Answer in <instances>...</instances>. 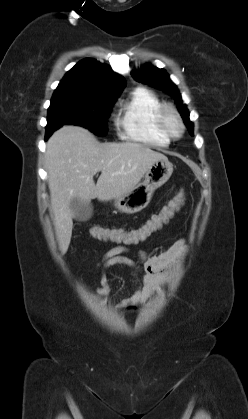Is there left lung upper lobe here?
Listing matches in <instances>:
<instances>
[{"mask_svg": "<svg viewBox=\"0 0 248 419\" xmlns=\"http://www.w3.org/2000/svg\"><path fill=\"white\" fill-rule=\"evenodd\" d=\"M131 75L139 82L162 89L172 95L176 104L178 105V109L182 115V118L188 127L189 133L193 135V123L189 120V111L183 104L181 95L176 85L170 80L169 75L163 69L155 68L151 65H146L140 71L132 72Z\"/></svg>", "mask_w": 248, "mask_h": 419, "instance_id": "left-lung-upper-lobe-1", "label": "left lung upper lobe"}]
</instances>
